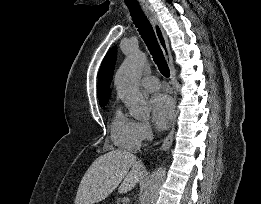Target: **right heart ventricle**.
<instances>
[{
  "label": "right heart ventricle",
  "instance_id": "1",
  "mask_svg": "<svg viewBox=\"0 0 261 204\" xmlns=\"http://www.w3.org/2000/svg\"><path fill=\"white\" fill-rule=\"evenodd\" d=\"M138 122L117 109L111 122V138L115 145L126 150H136L140 141L137 133Z\"/></svg>",
  "mask_w": 261,
  "mask_h": 204
}]
</instances>
